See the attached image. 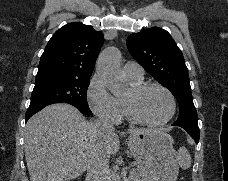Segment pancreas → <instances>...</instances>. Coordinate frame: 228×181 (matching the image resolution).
Segmentation results:
<instances>
[{"mask_svg":"<svg viewBox=\"0 0 228 181\" xmlns=\"http://www.w3.org/2000/svg\"><path fill=\"white\" fill-rule=\"evenodd\" d=\"M130 181H140L139 173L138 171H130Z\"/></svg>","mask_w":228,"mask_h":181,"instance_id":"cf45deb5","label":"pancreas"}]
</instances>
